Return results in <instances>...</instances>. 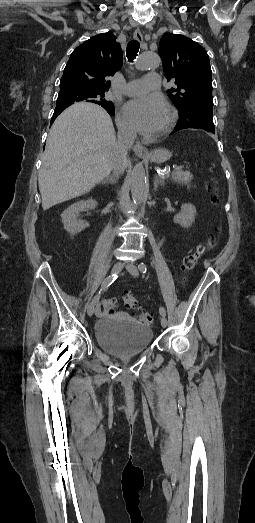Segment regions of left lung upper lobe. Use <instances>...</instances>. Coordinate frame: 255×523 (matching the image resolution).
<instances>
[{"mask_svg": "<svg viewBox=\"0 0 255 523\" xmlns=\"http://www.w3.org/2000/svg\"><path fill=\"white\" fill-rule=\"evenodd\" d=\"M159 55L167 80L177 85L167 91L181 118L172 133L182 127L215 133L212 71L206 50L183 35L167 33L160 40Z\"/></svg>", "mask_w": 255, "mask_h": 523, "instance_id": "5c2ea615", "label": "left lung upper lobe"}]
</instances>
